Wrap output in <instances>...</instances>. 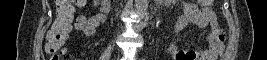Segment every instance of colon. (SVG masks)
<instances>
[{
	"label": "colon",
	"instance_id": "colon-1",
	"mask_svg": "<svg viewBox=\"0 0 267 60\" xmlns=\"http://www.w3.org/2000/svg\"><path fill=\"white\" fill-rule=\"evenodd\" d=\"M84 0H57L56 16L47 35L46 53L51 60H66L68 55L63 50V45L68 33L71 31L74 20L73 3L83 4ZM204 4H211L213 0H203Z\"/></svg>",
	"mask_w": 267,
	"mask_h": 60
}]
</instances>
